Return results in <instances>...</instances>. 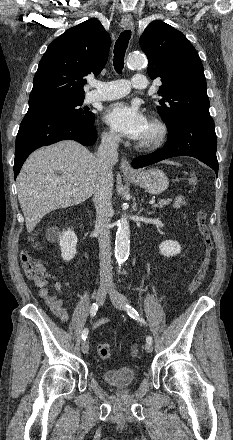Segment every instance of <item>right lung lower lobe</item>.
I'll use <instances>...</instances> for the list:
<instances>
[{"instance_id": "1", "label": "right lung lower lobe", "mask_w": 233, "mask_h": 440, "mask_svg": "<svg viewBox=\"0 0 233 440\" xmlns=\"http://www.w3.org/2000/svg\"><path fill=\"white\" fill-rule=\"evenodd\" d=\"M93 124H85L55 112L28 111L22 120L16 138L15 177L26 158L39 147L65 139L78 141L85 146L93 145L97 140Z\"/></svg>"}]
</instances>
